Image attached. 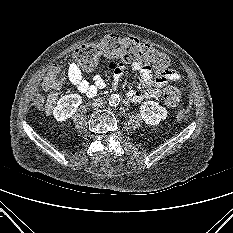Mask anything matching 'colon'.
Wrapping results in <instances>:
<instances>
[{
  "instance_id": "1",
  "label": "colon",
  "mask_w": 233,
  "mask_h": 233,
  "mask_svg": "<svg viewBox=\"0 0 233 233\" xmlns=\"http://www.w3.org/2000/svg\"><path fill=\"white\" fill-rule=\"evenodd\" d=\"M102 56L121 58L128 64H152L160 71H167L170 67L169 57L165 53L135 38H121L114 34L101 37L96 44L81 46L74 52L73 59L83 69L91 70ZM63 82L64 75L60 67H52L43 82L44 88L49 93L45 102L47 112L53 109L57 99V90ZM163 99L167 106L178 107L181 102V92L176 87H168L163 93Z\"/></svg>"
}]
</instances>
